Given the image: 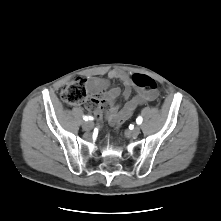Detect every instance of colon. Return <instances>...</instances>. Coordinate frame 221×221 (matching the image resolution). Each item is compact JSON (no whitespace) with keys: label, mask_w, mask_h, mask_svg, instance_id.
<instances>
[{"label":"colon","mask_w":221,"mask_h":221,"mask_svg":"<svg viewBox=\"0 0 221 221\" xmlns=\"http://www.w3.org/2000/svg\"><path fill=\"white\" fill-rule=\"evenodd\" d=\"M134 83L147 90H155V81L147 75H135ZM61 98L70 105H80L87 101L86 81L83 78H76L68 83L61 92ZM90 106V102L88 103Z\"/></svg>","instance_id":"colon-1"}]
</instances>
